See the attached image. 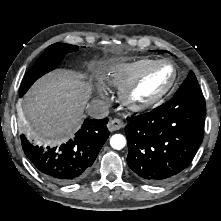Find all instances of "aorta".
Returning <instances> with one entry per match:
<instances>
[{
    "mask_svg": "<svg viewBox=\"0 0 221 221\" xmlns=\"http://www.w3.org/2000/svg\"><path fill=\"white\" fill-rule=\"evenodd\" d=\"M110 145L112 148L117 149V150H121L122 148L125 147L126 145V139L123 135L121 134H114L111 138H110Z\"/></svg>",
    "mask_w": 221,
    "mask_h": 221,
    "instance_id": "762f6f07",
    "label": "aorta"
}]
</instances>
